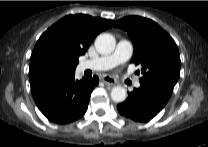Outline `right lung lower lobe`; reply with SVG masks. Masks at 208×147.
<instances>
[{
    "label": "right lung lower lobe",
    "instance_id": "obj_1",
    "mask_svg": "<svg viewBox=\"0 0 208 147\" xmlns=\"http://www.w3.org/2000/svg\"><path fill=\"white\" fill-rule=\"evenodd\" d=\"M99 78L75 80V76L43 83L31 88L34 101L50 121L67 124L84 115L90 95Z\"/></svg>",
    "mask_w": 208,
    "mask_h": 147
}]
</instances>
